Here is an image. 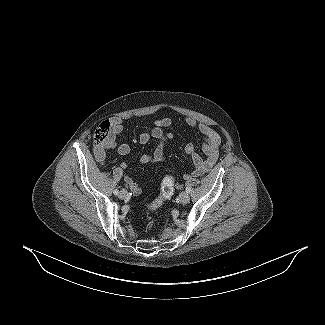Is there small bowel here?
I'll use <instances>...</instances> for the list:
<instances>
[{"instance_id":"obj_1","label":"small bowel","mask_w":325,"mask_h":325,"mask_svg":"<svg viewBox=\"0 0 325 325\" xmlns=\"http://www.w3.org/2000/svg\"><path fill=\"white\" fill-rule=\"evenodd\" d=\"M186 124L190 128H197L202 137V150L206 154V158H202L197 152L193 144L186 145L184 152L192 159L194 169L192 172L185 175L186 179L193 176H199L207 173L215 165L219 156L220 137L209 126L205 124H198L194 118H186ZM110 131L106 140L95 146L94 155L97 161L104 164L106 159V153L109 149L117 147V152L122 155H128L130 152V146L127 143H122L117 146V136L124 130V121L121 118H112L109 122ZM172 121L169 118H159L154 120V127L150 132H143L139 135V141L141 144H146L151 138L158 140V144L152 154H145L141 157V162L144 164H157L162 162L166 156L167 143L173 139L172 133H167L165 129L171 127ZM127 163H122L121 168L126 169ZM124 181L130 188L134 195L141 193L139 185L129 176H124Z\"/></svg>"}]
</instances>
